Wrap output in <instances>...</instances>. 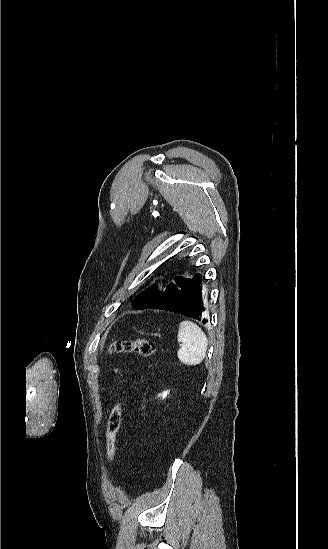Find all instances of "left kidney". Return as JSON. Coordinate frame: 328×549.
<instances>
[{"mask_svg":"<svg viewBox=\"0 0 328 549\" xmlns=\"http://www.w3.org/2000/svg\"><path fill=\"white\" fill-rule=\"evenodd\" d=\"M167 395H169V391H164V393H161V395H159V397H162V399H165V397H167Z\"/></svg>","mask_w":328,"mask_h":549,"instance_id":"obj_1","label":"left kidney"}]
</instances>
